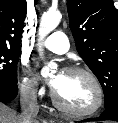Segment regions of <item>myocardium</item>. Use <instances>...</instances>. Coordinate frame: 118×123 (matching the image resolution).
I'll list each match as a JSON object with an SVG mask.
<instances>
[{"label": "myocardium", "mask_w": 118, "mask_h": 123, "mask_svg": "<svg viewBox=\"0 0 118 123\" xmlns=\"http://www.w3.org/2000/svg\"><path fill=\"white\" fill-rule=\"evenodd\" d=\"M65 72L78 73L87 76V78L90 80V82L92 83L95 89L96 100L91 107L83 110H77L63 104L59 99L58 95L56 94L55 90H52L51 96L54 105L62 112L74 117H87L97 113L101 109L104 103V90L97 76L91 70L79 66L67 67L65 69Z\"/></svg>", "instance_id": "f54148a6"}]
</instances>
